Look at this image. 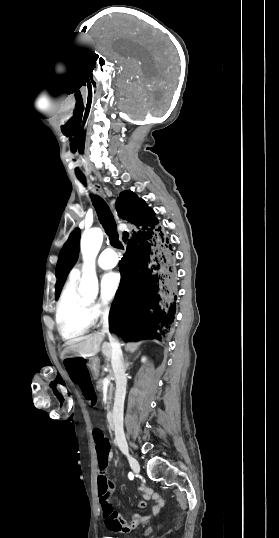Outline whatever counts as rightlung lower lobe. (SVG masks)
Here are the masks:
<instances>
[{
	"label": "right lung lower lobe",
	"mask_w": 279,
	"mask_h": 538,
	"mask_svg": "<svg viewBox=\"0 0 279 538\" xmlns=\"http://www.w3.org/2000/svg\"><path fill=\"white\" fill-rule=\"evenodd\" d=\"M116 209L130 230L123 233L127 249L119 264L122 277L109 322L126 340L159 339L176 314L178 279L172 246L154 211L133 192H122Z\"/></svg>",
	"instance_id": "right-lung-lower-lobe-1"
}]
</instances>
